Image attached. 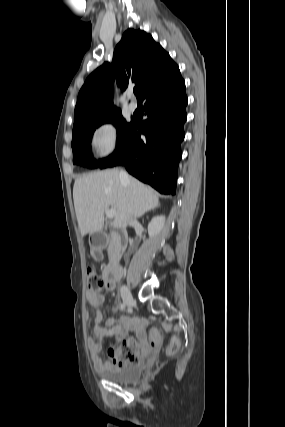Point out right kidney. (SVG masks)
<instances>
[{
	"label": "right kidney",
	"instance_id": "right-kidney-1",
	"mask_svg": "<svg viewBox=\"0 0 285 427\" xmlns=\"http://www.w3.org/2000/svg\"><path fill=\"white\" fill-rule=\"evenodd\" d=\"M165 226V216H155L148 224V234L151 238L157 237Z\"/></svg>",
	"mask_w": 285,
	"mask_h": 427
}]
</instances>
